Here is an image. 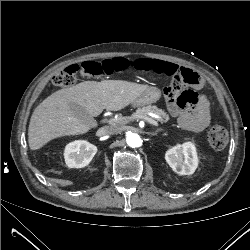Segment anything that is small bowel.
<instances>
[{
	"mask_svg": "<svg viewBox=\"0 0 250 250\" xmlns=\"http://www.w3.org/2000/svg\"><path fill=\"white\" fill-rule=\"evenodd\" d=\"M132 67L140 71H154L170 76L184 69L172 62L145 57L133 60ZM168 107L171 115L178 117V122L184 129L202 132L210 124V104L205 96H201L198 105L192 108H186L180 101L168 96Z\"/></svg>",
	"mask_w": 250,
	"mask_h": 250,
	"instance_id": "small-bowel-1",
	"label": "small bowel"
}]
</instances>
